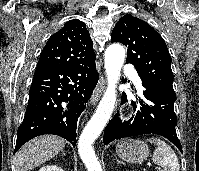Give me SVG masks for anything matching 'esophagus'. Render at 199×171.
Masks as SVG:
<instances>
[{
    "label": "esophagus",
    "instance_id": "1",
    "mask_svg": "<svg viewBox=\"0 0 199 171\" xmlns=\"http://www.w3.org/2000/svg\"><path fill=\"white\" fill-rule=\"evenodd\" d=\"M104 88H105V79L104 77H101L93 91V94L91 97V105H95L99 101L104 91Z\"/></svg>",
    "mask_w": 199,
    "mask_h": 171
}]
</instances>
